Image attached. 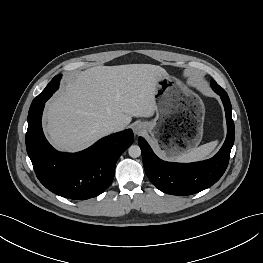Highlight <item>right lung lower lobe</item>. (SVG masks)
Segmentation results:
<instances>
[{
	"mask_svg": "<svg viewBox=\"0 0 263 263\" xmlns=\"http://www.w3.org/2000/svg\"><path fill=\"white\" fill-rule=\"evenodd\" d=\"M52 94H45L29 109L26 148L35 173L59 196L74 200L98 196L111 184L118 158L133 143V132L128 129L106 136L78 153L58 152L46 140L41 125L45 102Z\"/></svg>",
	"mask_w": 263,
	"mask_h": 263,
	"instance_id": "right-lung-lower-lobe-1",
	"label": "right lung lower lobe"
}]
</instances>
